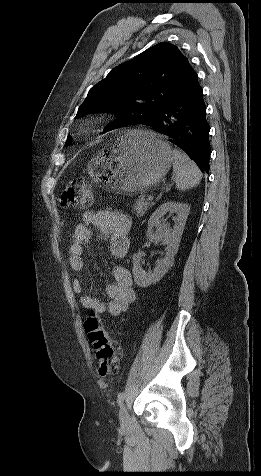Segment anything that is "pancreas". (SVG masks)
Listing matches in <instances>:
<instances>
[{
    "label": "pancreas",
    "mask_w": 261,
    "mask_h": 476,
    "mask_svg": "<svg viewBox=\"0 0 261 476\" xmlns=\"http://www.w3.org/2000/svg\"><path fill=\"white\" fill-rule=\"evenodd\" d=\"M153 206V203L149 202L148 200H145L144 198H139L135 201L133 205V213L137 217L143 216L148 209H150Z\"/></svg>",
    "instance_id": "1"
}]
</instances>
